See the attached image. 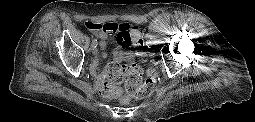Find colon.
I'll list each match as a JSON object with an SVG mask.
<instances>
[{"label": "colon", "instance_id": "5ec220e1", "mask_svg": "<svg viewBox=\"0 0 255 122\" xmlns=\"http://www.w3.org/2000/svg\"><path fill=\"white\" fill-rule=\"evenodd\" d=\"M85 27L92 32H104L107 34L118 33L124 38L125 45L142 49L144 46L142 35L138 26L128 24H117L113 22L97 23L86 22ZM124 82L126 93H122L117 84ZM155 87V72L149 68L146 77L143 79L141 67L137 65H122L119 63L110 64L98 80L99 92L107 97H120L123 105H130L133 98H144L149 96Z\"/></svg>", "mask_w": 255, "mask_h": 122}]
</instances>
